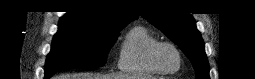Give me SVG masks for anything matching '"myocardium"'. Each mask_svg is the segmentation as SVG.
Returning a JSON list of instances; mask_svg holds the SVG:
<instances>
[{"instance_id": "f54148a6", "label": "myocardium", "mask_w": 255, "mask_h": 79, "mask_svg": "<svg viewBox=\"0 0 255 79\" xmlns=\"http://www.w3.org/2000/svg\"><path fill=\"white\" fill-rule=\"evenodd\" d=\"M164 47H169L171 49L174 50V52L177 54L178 56V66L177 68L175 69H169V68H166L160 61L159 59V52L162 48ZM150 61L151 63L153 64V66L159 70L160 72L162 73H166V74H172V73H175L177 72L181 66H182V63H183V58H182V53L180 51V49L172 42H167V41H164V42H158L156 43L151 51H150Z\"/></svg>"}]
</instances>
